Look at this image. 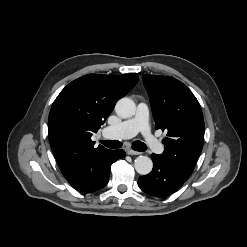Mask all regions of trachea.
<instances>
[{
  "instance_id": "trachea-1",
  "label": "trachea",
  "mask_w": 247,
  "mask_h": 247,
  "mask_svg": "<svg viewBox=\"0 0 247 247\" xmlns=\"http://www.w3.org/2000/svg\"><path fill=\"white\" fill-rule=\"evenodd\" d=\"M101 143L110 149H118L122 147V143L120 141L105 140L101 141ZM132 148L135 151L143 152L146 150V145L141 141H135L132 144Z\"/></svg>"
}]
</instances>
